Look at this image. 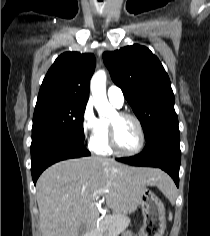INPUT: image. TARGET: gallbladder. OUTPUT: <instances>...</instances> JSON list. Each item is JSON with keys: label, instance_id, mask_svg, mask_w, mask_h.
<instances>
[{"label": "gallbladder", "instance_id": "gallbladder-1", "mask_svg": "<svg viewBox=\"0 0 210 236\" xmlns=\"http://www.w3.org/2000/svg\"><path fill=\"white\" fill-rule=\"evenodd\" d=\"M86 232V226L84 224H81L78 230L77 236H83V234Z\"/></svg>", "mask_w": 210, "mask_h": 236}]
</instances>
